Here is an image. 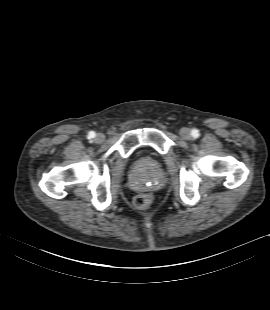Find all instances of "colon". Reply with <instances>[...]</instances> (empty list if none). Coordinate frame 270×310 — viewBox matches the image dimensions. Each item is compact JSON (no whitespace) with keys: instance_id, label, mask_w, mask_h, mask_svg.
I'll list each match as a JSON object with an SVG mask.
<instances>
[{"instance_id":"1","label":"colon","mask_w":270,"mask_h":310,"mask_svg":"<svg viewBox=\"0 0 270 310\" xmlns=\"http://www.w3.org/2000/svg\"><path fill=\"white\" fill-rule=\"evenodd\" d=\"M154 202L153 195L150 193H144L136 196L134 204L141 210H148L152 207Z\"/></svg>"}]
</instances>
